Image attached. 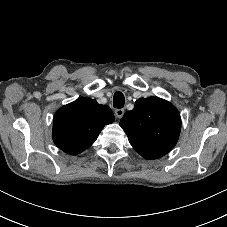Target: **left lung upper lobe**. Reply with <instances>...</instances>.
<instances>
[{"label": "left lung upper lobe", "mask_w": 227, "mask_h": 227, "mask_svg": "<svg viewBox=\"0 0 227 227\" xmlns=\"http://www.w3.org/2000/svg\"><path fill=\"white\" fill-rule=\"evenodd\" d=\"M132 147L146 159H157L177 143L181 128L178 110L156 96L141 98L120 121Z\"/></svg>", "instance_id": "1"}]
</instances>
